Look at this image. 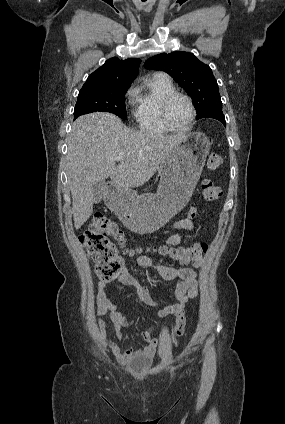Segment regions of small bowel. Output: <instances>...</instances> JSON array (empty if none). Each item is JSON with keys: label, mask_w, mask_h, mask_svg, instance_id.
I'll return each mask as SVG.
<instances>
[{"label": "small bowel", "mask_w": 285, "mask_h": 424, "mask_svg": "<svg viewBox=\"0 0 285 424\" xmlns=\"http://www.w3.org/2000/svg\"><path fill=\"white\" fill-rule=\"evenodd\" d=\"M196 216L195 209H191L189 216L177 220L173 228L177 230V233L170 235L166 238L165 244L168 246H176L180 243L183 233L190 231L194 228V218ZM136 262L141 267L152 270L158 274L162 279L167 282H176L173 288V294L177 300L174 304H169L162 307L158 313V318H165L170 315L176 317V323L173 329V336H181L184 332L185 319L183 317V311L185 305L195 299L198 295V275L195 270L191 268H172L164 265L156 259H152L149 256L138 253L136 255ZM116 283L119 286H133L136 288L137 299L140 303L149 305V306H159L160 302L152 299L150 295L149 288L145 285H141L138 281L129 273L126 267L123 268L121 274L117 277ZM107 286V281L102 279L98 283V294H97V313L102 316L104 319H108L113 324V333L117 340H122L123 335L121 329L125 326H128L132 323L123 313H121L116 305L107 297L105 289ZM123 293L126 294V291L123 290ZM182 317L183 321L179 324V318ZM99 322V328L103 335L106 345L111 349L115 355L117 361L120 364H127L135 348L131 347L125 350H122L118 344L109 339L106 335V322L105 320ZM154 328H149L142 333V341L145 343V350L147 352H153L157 349L160 340L153 336Z\"/></svg>", "instance_id": "1"}]
</instances>
